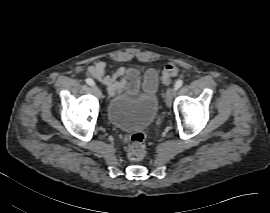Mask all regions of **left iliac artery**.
I'll return each instance as SVG.
<instances>
[{
    "label": "left iliac artery",
    "instance_id": "44dca946",
    "mask_svg": "<svg viewBox=\"0 0 270 213\" xmlns=\"http://www.w3.org/2000/svg\"><path fill=\"white\" fill-rule=\"evenodd\" d=\"M183 85V80L178 79L174 85L175 89L178 90Z\"/></svg>",
    "mask_w": 270,
    "mask_h": 213
}]
</instances>
